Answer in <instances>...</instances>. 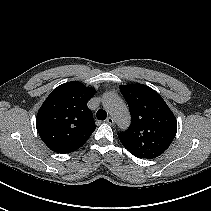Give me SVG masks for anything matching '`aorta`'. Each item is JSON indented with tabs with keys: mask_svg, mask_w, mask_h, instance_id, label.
<instances>
[{
	"mask_svg": "<svg viewBox=\"0 0 211 211\" xmlns=\"http://www.w3.org/2000/svg\"><path fill=\"white\" fill-rule=\"evenodd\" d=\"M104 108L113 116L117 125L126 129L130 124V114L125 103L115 94L107 93L103 97Z\"/></svg>",
	"mask_w": 211,
	"mask_h": 211,
	"instance_id": "762f6f07",
	"label": "aorta"
}]
</instances>
